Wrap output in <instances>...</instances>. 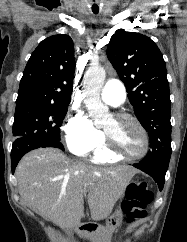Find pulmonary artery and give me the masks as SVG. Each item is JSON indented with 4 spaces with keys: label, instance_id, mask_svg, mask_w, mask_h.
Listing matches in <instances>:
<instances>
[{
    "label": "pulmonary artery",
    "instance_id": "obj_1",
    "mask_svg": "<svg viewBox=\"0 0 187 242\" xmlns=\"http://www.w3.org/2000/svg\"><path fill=\"white\" fill-rule=\"evenodd\" d=\"M125 98V87L119 80L116 79L107 81L101 91V99L103 102L113 107H118L123 104Z\"/></svg>",
    "mask_w": 187,
    "mask_h": 242
}]
</instances>
